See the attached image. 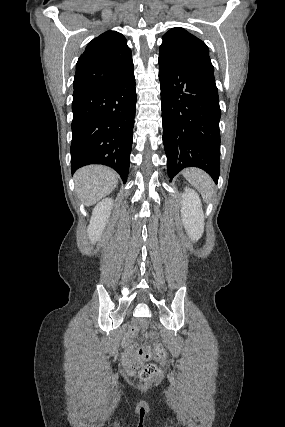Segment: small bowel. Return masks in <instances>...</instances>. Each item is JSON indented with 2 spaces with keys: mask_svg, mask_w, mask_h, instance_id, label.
<instances>
[{
  "mask_svg": "<svg viewBox=\"0 0 285 427\" xmlns=\"http://www.w3.org/2000/svg\"><path fill=\"white\" fill-rule=\"evenodd\" d=\"M122 362L128 369L130 370L135 369L136 361L132 357H130L128 354H123Z\"/></svg>",
  "mask_w": 285,
  "mask_h": 427,
  "instance_id": "1",
  "label": "small bowel"
}]
</instances>
